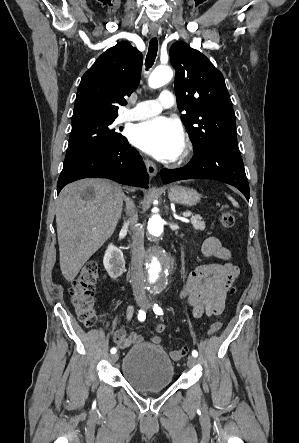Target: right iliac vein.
<instances>
[{"label": "right iliac vein", "instance_id": "1", "mask_svg": "<svg viewBox=\"0 0 299 443\" xmlns=\"http://www.w3.org/2000/svg\"><path fill=\"white\" fill-rule=\"evenodd\" d=\"M118 358H119L118 354H113V355L110 356V361L112 363H115L118 360Z\"/></svg>", "mask_w": 299, "mask_h": 443}]
</instances>
